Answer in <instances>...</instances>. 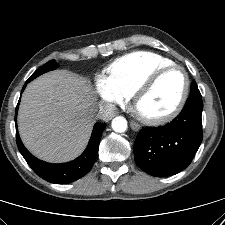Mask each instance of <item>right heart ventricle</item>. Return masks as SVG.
Returning a JSON list of instances; mask_svg holds the SVG:
<instances>
[{
  "instance_id": "obj_1",
  "label": "right heart ventricle",
  "mask_w": 225,
  "mask_h": 225,
  "mask_svg": "<svg viewBox=\"0 0 225 225\" xmlns=\"http://www.w3.org/2000/svg\"><path fill=\"white\" fill-rule=\"evenodd\" d=\"M173 64V61L156 53L137 51L127 54L107 69L108 79L127 97L154 71Z\"/></svg>"
}]
</instances>
